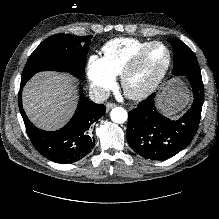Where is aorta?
Here are the masks:
<instances>
[{"mask_svg":"<svg viewBox=\"0 0 219 219\" xmlns=\"http://www.w3.org/2000/svg\"><path fill=\"white\" fill-rule=\"evenodd\" d=\"M110 117L114 123L122 124L127 120L128 113L122 107H115L114 109H112Z\"/></svg>","mask_w":219,"mask_h":219,"instance_id":"obj_1","label":"aorta"}]
</instances>
